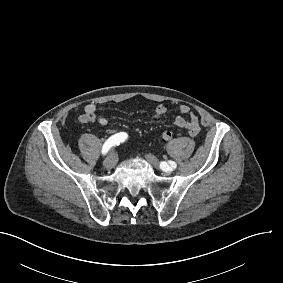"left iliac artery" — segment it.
Here are the masks:
<instances>
[{"instance_id": "1", "label": "left iliac artery", "mask_w": 283, "mask_h": 283, "mask_svg": "<svg viewBox=\"0 0 283 283\" xmlns=\"http://www.w3.org/2000/svg\"><path fill=\"white\" fill-rule=\"evenodd\" d=\"M169 164L172 168H176L177 164L174 161H169ZM162 166H165V164H163Z\"/></svg>"}]
</instances>
